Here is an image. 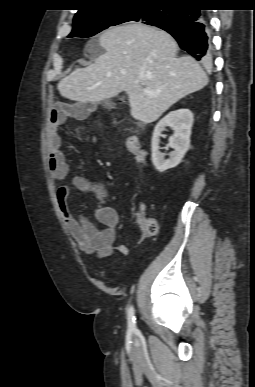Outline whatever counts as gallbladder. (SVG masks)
Returning <instances> with one entry per match:
<instances>
[{
  "label": "gallbladder",
  "mask_w": 255,
  "mask_h": 387,
  "mask_svg": "<svg viewBox=\"0 0 255 387\" xmlns=\"http://www.w3.org/2000/svg\"><path fill=\"white\" fill-rule=\"evenodd\" d=\"M104 104L110 105V104H111V101H110L109 99H107V100L104 101Z\"/></svg>",
  "instance_id": "obj_1"
}]
</instances>
